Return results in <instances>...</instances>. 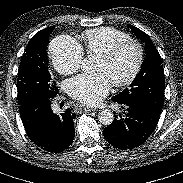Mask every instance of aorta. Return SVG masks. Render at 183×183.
Instances as JSON below:
<instances>
[{"mask_svg": "<svg viewBox=\"0 0 183 183\" xmlns=\"http://www.w3.org/2000/svg\"><path fill=\"white\" fill-rule=\"evenodd\" d=\"M93 68V63L91 59L85 58L82 61V69L83 71L87 72ZM99 122L105 126H109L112 124L114 120V114L110 110H103L98 115Z\"/></svg>", "mask_w": 183, "mask_h": 183, "instance_id": "762f6f07", "label": "aorta"}]
</instances>
